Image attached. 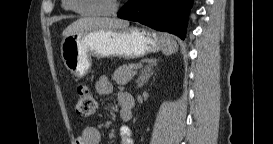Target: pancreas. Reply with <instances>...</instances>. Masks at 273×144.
I'll list each match as a JSON object with an SVG mask.
<instances>
[{
  "instance_id": "1",
  "label": "pancreas",
  "mask_w": 273,
  "mask_h": 144,
  "mask_svg": "<svg viewBox=\"0 0 273 144\" xmlns=\"http://www.w3.org/2000/svg\"><path fill=\"white\" fill-rule=\"evenodd\" d=\"M135 66V63H130L118 67L113 74V80L118 85L127 84L136 74Z\"/></svg>"
}]
</instances>
